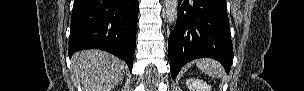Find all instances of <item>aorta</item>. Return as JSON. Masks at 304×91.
I'll use <instances>...</instances> for the list:
<instances>
[{"label":"aorta","instance_id":"obj_1","mask_svg":"<svg viewBox=\"0 0 304 91\" xmlns=\"http://www.w3.org/2000/svg\"><path fill=\"white\" fill-rule=\"evenodd\" d=\"M164 6L167 22L175 25L178 15V0H164Z\"/></svg>","mask_w":304,"mask_h":91}]
</instances>
